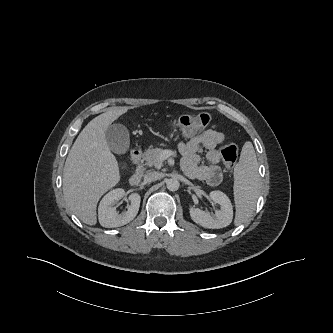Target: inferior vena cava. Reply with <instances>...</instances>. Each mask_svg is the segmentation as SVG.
Returning a JSON list of instances; mask_svg holds the SVG:
<instances>
[{"label": "inferior vena cava", "instance_id": "602c4592", "mask_svg": "<svg viewBox=\"0 0 333 333\" xmlns=\"http://www.w3.org/2000/svg\"><path fill=\"white\" fill-rule=\"evenodd\" d=\"M162 174L156 171H152V172H148L145 176H144V181L149 183V182H153L156 180L161 179Z\"/></svg>", "mask_w": 333, "mask_h": 333}]
</instances>
